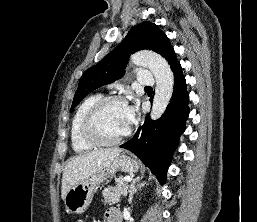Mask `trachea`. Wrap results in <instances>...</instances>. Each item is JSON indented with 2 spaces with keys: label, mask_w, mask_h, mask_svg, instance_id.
Segmentation results:
<instances>
[{
  "label": "trachea",
  "mask_w": 257,
  "mask_h": 222,
  "mask_svg": "<svg viewBox=\"0 0 257 222\" xmlns=\"http://www.w3.org/2000/svg\"><path fill=\"white\" fill-rule=\"evenodd\" d=\"M145 88L151 89V87H149V86H146Z\"/></svg>",
  "instance_id": "obj_1"
}]
</instances>
